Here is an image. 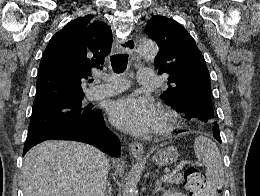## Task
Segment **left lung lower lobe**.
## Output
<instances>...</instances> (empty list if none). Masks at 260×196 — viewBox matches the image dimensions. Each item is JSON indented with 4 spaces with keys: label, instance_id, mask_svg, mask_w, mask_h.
<instances>
[{
    "label": "left lung lower lobe",
    "instance_id": "0a47b994",
    "mask_svg": "<svg viewBox=\"0 0 260 196\" xmlns=\"http://www.w3.org/2000/svg\"><path fill=\"white\" fill-rule=\"evenodd\" d=\"M215 117L213 108L211 107H196L193 108L192 111L189 113V118L191 119H197V120H210L213 119ZM182 131H178L176 133H180ZM213 133L214 138L221 143V138H220V132H219V126L217 125V123L214 124L213 126Z\"/></svg>",
    "mask_w": 260,
    "mask_h": 196
}]
</instances>
